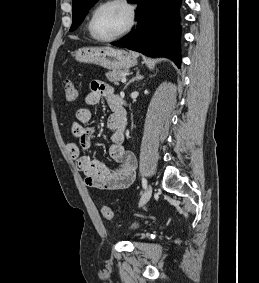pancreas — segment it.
<instances>
[{
	"mask_svg": "<svg viewBox=\"0 0 259 283\" xmlns=\"http://www.w3.org/2000/svg\"><path fill=\"white\" fill-rule=\"evenodd\" d=\"M125 71L124 70H113V71H109L106 73V77L107 79L114 83V84H118V82L122 79V77L124 76Z\"/></svg>",
	"mask_w": 259,
	"mask_h": 283,
	"instance_id": "1",
	"label": "pancreas"
}]
</instances>
